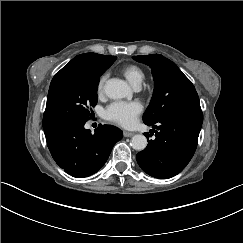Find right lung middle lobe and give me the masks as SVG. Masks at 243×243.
Wrapping results in <instances>:
<instances>
[{"instance_id":"dd1d6c3e","label":"right lung middle lobe","mask_w":243,"mask_h":243,"mask_svg":"<svg viewBox=\"0 0 243 243\" xmlns=\"http://www.w3.org/2000/svg\"><path fill=\"white\" fill-rule=\"evenodd\" d=\"M115 60L113 56L98 72L74 71L55 75L49 87L43 127L62 120L92 118L91 107L98 101L99 77Z\"/></svg>"}]
</instances>
